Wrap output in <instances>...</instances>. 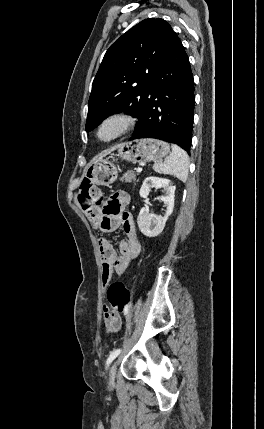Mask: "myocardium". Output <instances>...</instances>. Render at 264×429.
Here are the masks:
<instances>
[{"instance_id":"f54148a6","label":"myocardium","mask_w":264,"mask_h":429,"mask_svg":"<svg viewBox=\"0 0 264 429\" xmlns=\"http://www.w3.org/2000/svg\"><path fill=\"white\" fill-rule=\"evenodd\" d=\"M134 125V118L126 113H113L104 117L96 127L95 137L101 143L112 142L126 135ZM113 127V132L107 136L104 131Z\"/></svg>"}]
</instances>
